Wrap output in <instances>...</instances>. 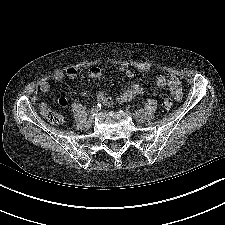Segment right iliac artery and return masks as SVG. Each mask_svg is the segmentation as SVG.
Segmentation results:
<instances>
[{
	"label": "right iliac artery",
	"mask_w": 225,
	"mask_h": 225,
	"mask_svg": "<svg viewBox=\"0 0 225 225\" xmlns=\"http://www.w3.org/2000/svg\"><path fill=\"white\" fill-rule=\"evenodd\" d=\"M101 109V104L98 103L97 105L93 106L91 108V111H90V116L91 117H94L95 115H97V113L100 111Z\"/></svg>",
	"instance_id": "82829eb1"
}]
</instances>
